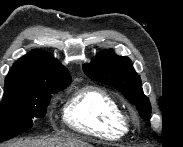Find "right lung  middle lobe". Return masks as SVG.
<instances>
[{
	"instance_id": "dd1d6c3e",
	"label": "right lung middle lobe",
	"mask_w": 183,
	"mask_h": 147,
	"mask_svg": "<svg viewBox=\"0 0 183 147\" xmlns=\"http://www.w3.org/2000/svg\"><path fill=\"white\" fill-rule=\"evenodd\" d=\"M62 87L40 85L5 88L0 105V142L32 128L33 119L44 117L51 94Z\"/></svg>"
}]
</instances>
